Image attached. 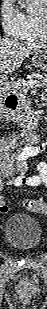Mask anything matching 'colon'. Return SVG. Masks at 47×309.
Instances as JSON below:
<instances>
[{
	"label": "colon",
	"mask_w": 47,
	"mask_h": 309,
	"mask_svg": "<svg viewBox=\"0 0 47 309\" xmlns=\"http://www.w3.org/2000/svg\"><path fill=\"white\" fill-rule=\"evenodd\" d=\"M24 206L31 212L39 213V214H46L47 212V204L42 200L36 199H26L24 201ZM7 207L4 203L1 205V211L6 212Z\"/></svg>",
	"instance_id": "5ec220e1"
}]
</instances>
